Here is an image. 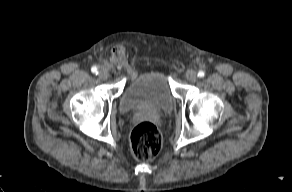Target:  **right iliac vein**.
<instances>
[{"label":"right iliac vein","instance_id":"1","mask_svg":"<svg viewBox=\"0 0 292 192\" xmlns=\"http://www.w3.org/2000/svg\"><path fill=\"white\" fill-rule=\"evenodd\" d=\"M98 76L100 79L102 80H106L108 77H109V73L107 70L105 69H101L99 72H98Z\"/></svg>","mask_w":292,"mask_h":192}]
</instances>
